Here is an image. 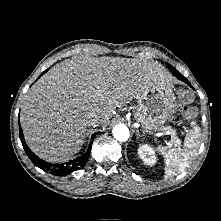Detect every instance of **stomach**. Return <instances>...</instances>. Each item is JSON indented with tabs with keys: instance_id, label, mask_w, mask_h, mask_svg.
Here are the masks:
<instances>
[{
	"instance_id": "1",
	"label": "stomach",
	"mask_w": 221,
	"mask_h": 221,
	"mask_svg": "<svg viewBox=\"0 0 221 221\" xmlns=\"http://www.w3.org/2000/svg\"><path fill=\"white\" fill-rule=\"evenodd\" d=\"M138 105L134 118L143 131L154 134L171 117L175 109L173 85L158 82L150 85L138 95Z\"/></svg>"
}]
</instances>
